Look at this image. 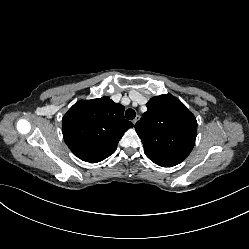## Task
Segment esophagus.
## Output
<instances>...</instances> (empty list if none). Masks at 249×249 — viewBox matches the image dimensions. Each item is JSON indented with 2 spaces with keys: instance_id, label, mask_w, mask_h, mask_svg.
I'll return each instance as SVG.
<instances>
[{
  "instance_id": "34e87169",
  "label": "esophagus",
  "mask_w": 249,
  "mask_h": 249,
  "mask_svg": "<svg viewBox=\"0 0 249 249\" xmlns=\"http://www.w3.org/2000/svg\"><path fill=\"white\" fill-rule=\"evenodd\" d=\"M139 119H140V116L137 115V116L134 118V120L132 121L133 124L135 125Z\"/></svg>"
}]
</instances>
